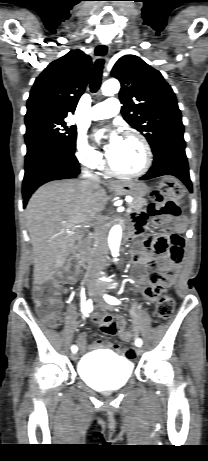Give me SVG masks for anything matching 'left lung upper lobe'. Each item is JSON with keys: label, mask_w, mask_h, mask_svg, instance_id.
I'll list each match as a JSON object with an SVG mask.
<instances>
[{"label": "left lung upper lobe", "mask_w": 208, "mask_h": 461, "mask_svg": "<svg viewBox=\"0 0 208 461\" xmlns=\"http://www.w3.org/2000/svg\"><path fill=\"white\" fill-rule=\"evenodd\" d=\"M111 75L121 83L123 118L146 137L153 152L169 141H184L175 93L158 70L140 57L125 55Z\"/></svg>", "instance_id": "obj_1"}]
</instances>
